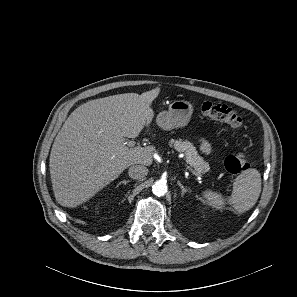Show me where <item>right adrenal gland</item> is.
Wrapping results in <instances>:
<instances>
[{
    "label": "right adrenal gland",
    "instance_id": "1",
    "mask_svg": "<svg viewBox=\"0 0 297 297\" xmlns=\"http://www.w3.org/2000/svg\"><path fill=\"white\" fill-rule=\"evenodd\" d=\"M129 182H130L129 180H123V181L119 182V184H118L117 186H119L120 184H124V185H126V184H128Z\"/></svg>",
    "mask_w": 297,
    "mask_h": 297
}]
</instances>
